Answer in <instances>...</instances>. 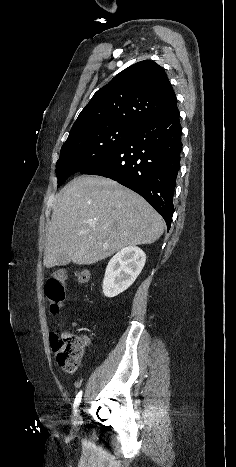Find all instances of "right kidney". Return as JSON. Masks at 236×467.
Instances as JSON below:
<instances>
[{
	"mask_svg": "<svg viewBox=\"0 0 236 467\" xmlns=\"http://www.w3.org/2000/svg\"><path fill=\"white\" fill-rule=\"evenodd\" d=\"M145 261L144 251L136 246H128L117 252L105 271L104 295L111 298L128 289L142 271Z\"/></svg>",
	"mask_w": 236,
	"mask_h": 467,
	"instance_id": "ca27d5eb",
	"label": "right kidney"
}]
</instances>
